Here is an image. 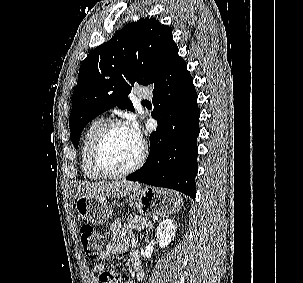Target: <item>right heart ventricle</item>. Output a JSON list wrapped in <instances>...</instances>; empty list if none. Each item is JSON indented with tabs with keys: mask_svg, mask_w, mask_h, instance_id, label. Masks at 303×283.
<instances>
[{
	"mask_svg": "<svg viewBox=\"0 0 303 283\" xmlns=\"http://www.w3.org/2000/svg\"><path fill=\"white\" fill-rule=\"evenodd\" d=\"M104 123H105L104 117L100 116L95 118L85 130V133L82 138V143L80 148L81 169L83 171L84 176L91 181H100L104 179V177L101 176L94 169L90 157L93 140L97 132L99 131V129Z\"/></svg>",
	"mask_w": 303,
	"mask_h": 283,
	"instance_id": "right-heart-ventricle-1",
	"label": "right heart ventricle"
}]
</instances>
